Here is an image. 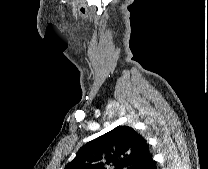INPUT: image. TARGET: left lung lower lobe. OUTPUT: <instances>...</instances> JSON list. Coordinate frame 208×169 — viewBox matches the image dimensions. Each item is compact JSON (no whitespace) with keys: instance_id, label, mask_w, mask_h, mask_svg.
Segmentation results:
<instances>
[{"instance_id":"1","label":"left lung lower lobe","mask_w":208,"mask_h":169,"mask_svg":"<svg viewBox=\"0 0 208 169\" xmlns=\"http://www.w3.org/2000/svg\"><path fill=\"white\" fill-rule=\"evenodd\" d=\"M141 169H156L155 161L152 159L150 152L146 156Z\"/></svg>"}]
</instances>
